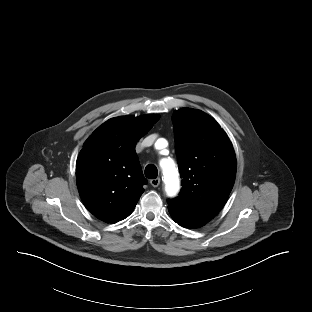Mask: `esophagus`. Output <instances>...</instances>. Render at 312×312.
Here are the masks:
<instances>
[{
  "instance_id": "1",
  "label": "esophagus",
  "mask_w": 312,
  "mask_h": 312,
  "mask_svg": "<svg viewBox=\"0 0 312 312\" xmlns=\"http://www.w3.org/2000/svg\"><path fill=\"white\" fill-rule=\"evenodd\" d=\"M150 184H151L153 187H158L159 184H160V178H155V179L150 180Z\"/></svg>"
}]
</instances>
